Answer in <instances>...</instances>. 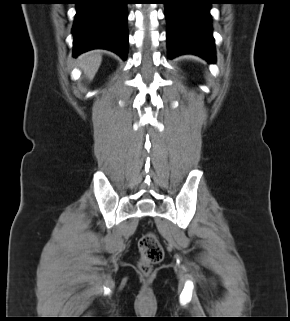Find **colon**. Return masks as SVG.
I'll use <instances>...</instances> for the list:
<instances>
[{
  "label": "colon",
  "mask_w": 290,
  "mask_h": 321,
  "mask_svg": "<svg viewBox=\"0 0 290 321\" xmlns=\"http://www.w3.org/2000/svg\"><path fill=\"white\" fill-rule=\"evenodd\" d=\"M141 259L139 269L143 274H148L153 265L160 263L164 258L163 247L153 233H147L139 240Z\"/></svg>",
  "instance_id": "colon-1"
}]
</instances>
